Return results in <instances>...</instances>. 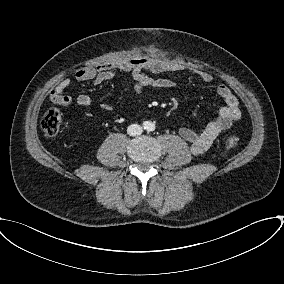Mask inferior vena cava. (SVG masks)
I'll return each instance as SVG.
<instances>
[{"mask_svg":"<svg viewBox=\"0 0 284 284\" xmlns=\"http://www.w3.org/2000/svg\"><path fill=\"white\" fill-rule=\"evenodd\" d=\"M142 131H143L142 127L138 124H131L127 128V133L130 136L140 135L142 133Z\"/></svg>","mask_w":284,"mask_h":284,"instance_id":"inferior-vena-cava-1","label":"inferior vena cava"}]
</instances>
